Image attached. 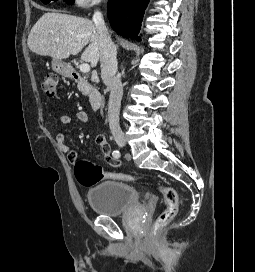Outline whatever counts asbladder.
I'll use <instances>...</instances> for the list:
<instances>
[{
    "instance_id": "obj_1",
    "label": "bladder",
    "mask_w": 255,
    "mask_h": 272,
    "mask_svg": "<svg viewBox=\"0 0 255 272\" xmlns=\"http://www.w3.org/2000/svg\"><path fill=\"white\" fill-rule=\"evenodd\" d=\"M86 199L94 212L101 216H120L139 204L138 191L120 181H104L86 193Z\"/></svg>"
}]
</instances>
